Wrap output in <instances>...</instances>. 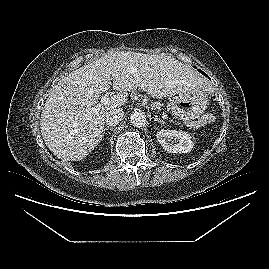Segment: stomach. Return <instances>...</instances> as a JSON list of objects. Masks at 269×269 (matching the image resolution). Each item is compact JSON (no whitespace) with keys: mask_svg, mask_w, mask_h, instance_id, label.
Wrapping results in <instances>:
<instances>
[{"mask_svg":"<svg viewBox=\"0 0 269 269\" xmlns=\"http://www.w3.org/2000/svg\"><path fill=\"white\" fill-rule=\"evenodd\" d=\"M205 89L193 88L183 91L174 97L170 103L171 114L179 120L193 125L204 114L209 99Z\"/></svg>","mask_w":269,"mask_h":269,"instance_id":"stomach-1","label":"stomach"}]
</instances>
